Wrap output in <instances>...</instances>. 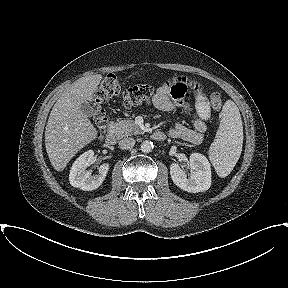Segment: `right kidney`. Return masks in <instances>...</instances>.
Instances as JSON below:
<instances>
[{
	"instance_id": "obj_1",
	"label": "right kidney",
	"mask_w": 288,
	"mask_h": 288,
	"mask_svg": "<svg viewBox=\"0 0 288 288\" xmlns=\"http://www.w3.org/2000/svg\"><path fill=\"white\" fill-rule=\"evenodd\" d=\"M93 162V150L84 152L76 159L69 174V181L73 187L80 188L84 191H91L97 189L102 184L109 170V164H102L98 169V175H91V172L86 170V168Z\"/></svg>"
}]
</instances>
